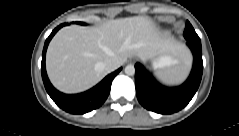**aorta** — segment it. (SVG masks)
Listing matches in <instances>:
<instances>
[{
    "label": "aorta",
    "instance_id": "obj_1",
    "mask_svg": "<svg viewBox=\"0 0 239 136\" xmlns=\"http://www.w3.org/2000/svg\"><path fill=\"white\" fill-rule=\"evenodd\" d=\"M125 71V74L129 75V76H132L135 74V67L134 65L130 64V65H127L124 69Z\"/></svg>",
    "mask_w": 239,
    "mask_h": 136
}]
</instances>
